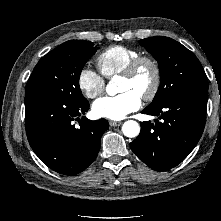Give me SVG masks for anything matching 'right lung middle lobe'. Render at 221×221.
Listing matches in <instances>:
<instances>
[{"label": "right lung middle lobe", "instance_id": "right-lung-middle-lobe-1", "mask_svg": "<svg viewBox=\"0 0 221 221\" xmlns=\"http://www.w3.org/2000/svg\"><path fill=\"white\" fill-rule=\"evenodd\" d=\"M96 52L90 41L70 40L46 54L35 66L26 93H38L78 105L87 101L79 87L81 71Z\"/></svg>", "mask_w": 221, "mask_h": 221}]
</instances>
